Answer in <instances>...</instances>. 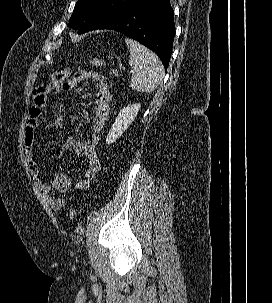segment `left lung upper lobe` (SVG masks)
Masks as SVG:
<instances>
[{"label": "left lung upper lobe", "instance_id": "1", "mask_svg": "<svg viewBox=\"0 0 272 303\" xmlns=\"http://www.w3.org/2000/svg\"><path fill=\"white\" fill-rule=\"evenodd\" d=\"M139 1L141 0H78L68 26L78 29V34L92 31Z\"/></svg>", "mask_w": 272, "mask_h": 303}]
</instances>
